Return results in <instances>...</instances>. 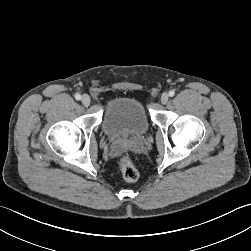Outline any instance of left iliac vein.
<instances>
[{
	"label": "left iliac vein",
	"mask_w": 251,
	"mask_h": 251,
	"mask_svg": "<svg viewBox=\"0 0 251 251\" xmlns=\"http://www.w3.org/2000/svg\"><path fill=\"white\" fill-rule=\"evenodd\" d=\"M168 100H169V95L167 93H163L161 95V103L166 104L168 102Z\"/></svg>",
	"instance_id": "4c4485c4"
}]
</instances>
